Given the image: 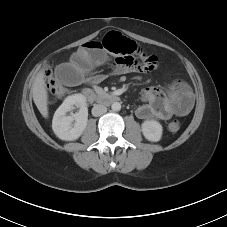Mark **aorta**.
<instances>
[{"label":"aorta","instance_id":"762f6f07","mask_svg":"<svg viewBox=\"0 0 227 227\" xmlns=\"http://www.w3.org/2000/svg\"><path fill=\"white\" fill-rule=\"evenodd\" d=\"M111 109L113 111H120L121 104L119 102H113L112 105H111Z\"/></svg>","mask_w":227,"mask_h":227}]
</instances>
